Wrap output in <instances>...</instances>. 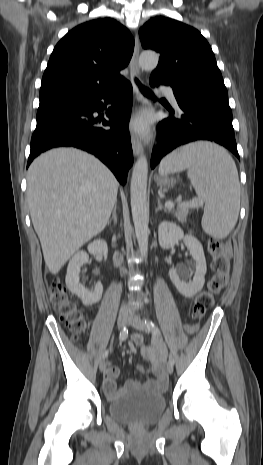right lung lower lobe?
Listing matches in <instances>:
<instances>
[{
    "instance_id": "98d812e1",
    "label": "right lung lower lobe",
    "mask_w": 263,
    "mask_h": 465,
    "mask_svg": "<svg viewBox=\"0 0 263 465\" xmlns=\"http://www.w3.org/2000/svg\"><path fill=\"white\" fill-rule=\"evenodd\" d=\"M109 121L93 117L106 105ZM133 101L132 86L124 81L103 92H88L38 109L37 126L31 139L27 167L40 153L61 146H73L94 154L125 184L133 163L128 131ZM110 125L109 130L102 126Z\"/></svg>"
}]
</instances>
